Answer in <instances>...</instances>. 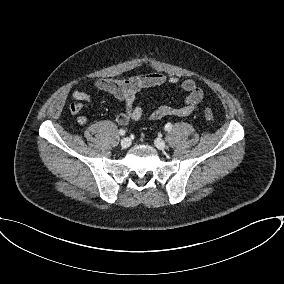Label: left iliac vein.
<instances>
[{"mask_svg": "<svg viewBox=\"0 0 284 284\" xmlns=\"http://www.w3.org/2000/svg\"><path fill=\"white\" fill-rule=\"evenodd\" d=\"M154 143H155V146L160 150H163L166 146L165 141L160 138H157Z\"/></svg>", "mask_w": 284, "mask_h": 284, "instance_id": "1", "label": "left iliac vein"}]
</instances>
